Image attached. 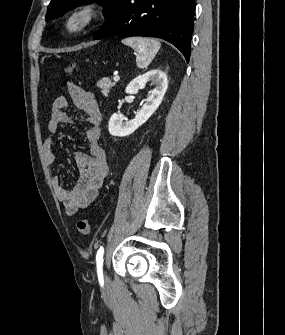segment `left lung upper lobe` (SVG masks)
I'll return each mask as SVG.
<instances>
[{
	"mask_svg": "<svg viewBox=\"0 0 285 335\" xmlns=\"http://www.w3.org/2000/svg\"><path fill=\"white\" fill-rule=\"evenodd\" d=\"M95 1H98L104 6V14L106 17L119 0H51L48 5L46 20L58 18L70 8H74L80 4L93 3Z\"/></svg>",
	"mask_w": 285,
	"mask_h": 335,
	"instance_id": "5c2ea615",
	"label": "left lung upper lobe"
}]
</instances>
